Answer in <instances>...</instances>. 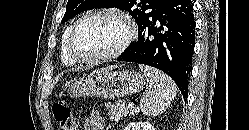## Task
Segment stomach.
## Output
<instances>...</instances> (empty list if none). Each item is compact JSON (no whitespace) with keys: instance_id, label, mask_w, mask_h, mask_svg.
I'll return each mask as SVG.
<instances>
[{"instance_id":"1","label":"stomach","mask_w":249,"mask_h":130,"mask_svg":"<svg viewBox=\"0 0 249 130\" xmlns=\"http://www.w3.org/2000/svg\"><path fill=\"white\" fill-rule=\"evenodd\" d=\"M144 77L136 70H99L68 85L71 98L93 96L107 99L120 98L140 92Z\"/></svg>"}]
</instances>
